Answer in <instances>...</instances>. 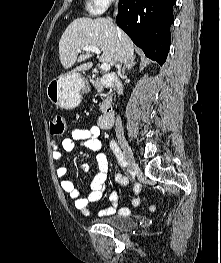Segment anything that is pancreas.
<instances>
[{"instance_id": "cf45deb5", "label": "pancreas", "mask_w": 221, "mask_h": 263, "mask_svg": "<svg viewBox=\"0 0 221 263\" xmlns=\"http://www.w3.org/2000/svg\"><path fill=\"white\" fill-rule=\"evenodd\" d=\"M91 83L93 84V86L97 89V91L99 93H101L103 91V85H101V83L98 80H95L93 78H90ZM104 96L105 99L102 101V103H100V110H104L106 103L111 99L110 95H105V94H101V96Z\"/></svg>"}]
</instances>
